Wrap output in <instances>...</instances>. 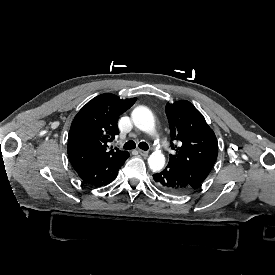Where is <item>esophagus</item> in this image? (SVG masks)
<instances>
[{"label":"esophagus","instance_id":"esophagus-1","mask_svg":"<svg viewBox=\"0 0 275 275\" xmlns=\"http://www.w3.org/2000/svg\"><path fill=\"white\" fill-rule=\"evenodd\" d=\"M138 152H139V154H141L144 157H147L148 154H149L147 151H144V150H141V149H139Z\"/></svg>","mask_w":275,"mask_h":275}]
</instances>
